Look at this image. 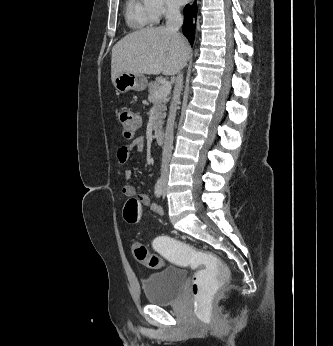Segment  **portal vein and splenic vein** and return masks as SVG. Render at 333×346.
Returning a JSON list of instances; mask_svg holds the SVG:
<instances>
[{
	"label": "portal vein and splenic vein",
	"instance_id": "portal-vein-and-splenic-vein-1",
	"mask_svg": "<svg viewBox=\"0 0 333 346\" xmlns=\"http://www.w3.org/2000/svg\"><path fill=\"white\" fill-rule=\"evenodd\" d=\"M171 88L172 86L170 82L163 83L161 87L156 91L155 97L156 98L166 97L170 93Z\"/></svg>",
	"mask_w": 333,
	"mask_h": 346
}]
</instances>
